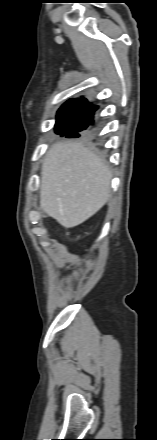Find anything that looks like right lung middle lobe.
Segmentation results:
<instances>
[{
  "mask_svg": "<svg viewBox=\"0 0 157 440\" xmlns=\"http://www.w3.org/2000/svg\"><path fill=\"white\" fill-rule=\"evenodd\" d=\"M55 129L57 134L66 135L68 138H77L80 137L78 132L85 130L86 126L80 125L77 121H57Z\"/></svg>",
  "mask_w": 157,
  "mask_h": 440,
  "instance_id": "right-lung-middle-lobe-1",
  "label": "right lung middle lobe"
}]
</instances>
